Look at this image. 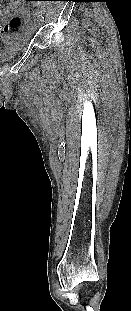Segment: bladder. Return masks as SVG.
Wrapping results in <instances>:
<instances>
[{
  "instance_id": "bladder-1",
  "label": "bladder",
  "mask_w": 131,
  "mask_h": 311,
  "mask_svg": "<svg viewBox=\"0 0 131 311\" xmlns=\"http://www.w3.org/2000/svg\"><path fill=\"white\" fill-rule=\"evenodd\" d=\"M28 41L20 36L0 37V62L8 61L19 55L27 46Z\"/></svg>"
}]
</instances>
